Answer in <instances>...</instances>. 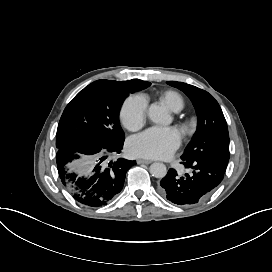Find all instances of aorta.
<instances>
[{
	"mask_svg": "<svg viewBox=\"0 0 272 272\" xmlns=\"http://www.w3.org/2000/svg\"><path fill=\"white\" fill-rule=\"evenodd\" d=\"M148 115L155 123H163L166 119V112L163 110L160 104L155 102L150 104L148 108ZM149 171L153 177L159 179L164 178L167 174L166 166L163 163L156 162L151 164Z\"/></svg>",
	"mask_w": 272,
	"mask_h": 272,
	"instance_id": "1",
	"label": "aorta"
}]
</instances>
